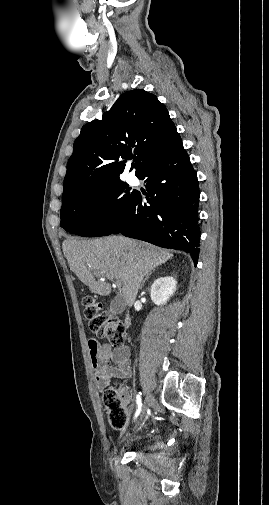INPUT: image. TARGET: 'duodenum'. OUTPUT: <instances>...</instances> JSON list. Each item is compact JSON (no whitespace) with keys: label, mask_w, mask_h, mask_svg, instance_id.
<instances>
[{"label":"duodenum","mask_w":269,"mask_h":505,"mask_svg":"<svg viewBox=\"0 0 269 505\" xmlns=\"http://www.w3.org/2000/svg\"><path fill=\"white\" fill-rule=\"evenodd\" d=\"M125 323H126L127 325H129V324H130V318H129V317H126Z\"/></svg>","instance_id":"duodenum-1"}]
</instances>
